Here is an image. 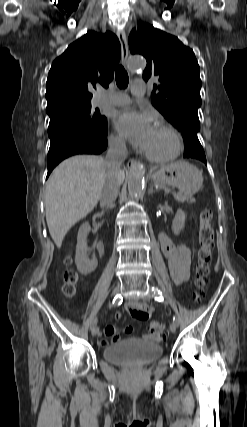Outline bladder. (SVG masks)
I'll list each match as a JSON object with an SVG mask.
<instances>
[{"instance_id":"1","label":"bladder","mask_w":247,"mask_h":427,"mask_svg":"<svg viewBox=\"0 0 247 427\" xmlns=\"http://www.w3.org/2000/svg\"><path fill=\"white\" fill-rule=\"evenodd\" d=\"M161 355L162 347L159 344L141 340H124L103 349L105 360L129 367L145 366Z\"/></svg>"}]
</instances>
